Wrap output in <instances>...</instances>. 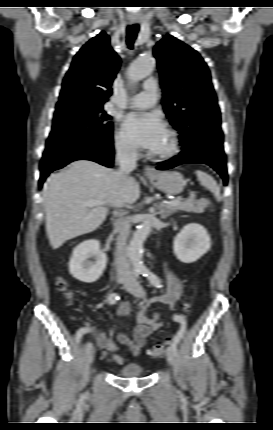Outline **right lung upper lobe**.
Here are the masks:
<instances>
[{"instance_id":"cb5924a9","label":"right lung upper lobe","mask_w":273,"mask_h":430,"mask_svg":"<svg viewBox=\"0 0 273 430\" xmlns=\"http://www.w3.org/2000/svg\"><path fill=\"white\" fill-rule=\"evenodd\" d=\"M120 58L110 46L106 33L89 40L73 58L66 73L56 108L75 102L103 107L111 95V85Z\"/></svg>"}]
</instances>
